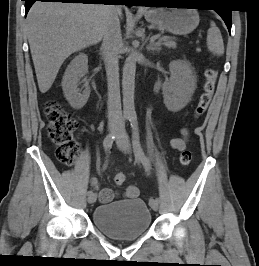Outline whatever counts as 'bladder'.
<instances>
[{
    "instance_id": "bladder-1",
    "label": "bladder",
    "mask_w": 259,
    "mask_h": 266,
    "mask_svg": "<svg viewBox=\"0 0 259 266\" xmlns=\"http://www.w3.org/2000/svg\"><path fill=\"white\" fill-rule=\"evenodd\" d=\"M92 222L106 236L117 240H134L151 227V213L140 198L97 206Z\"/></svg>"
}]
</instances>
